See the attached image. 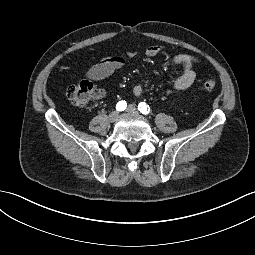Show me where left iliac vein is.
I'll return each mask as SVG.
<instances>
[{
	"label": "left iliac vein",
	"instance_id": "left-iliac-vein-1",
	"mask_svg": "<svg viewBox=\"0 0 255 255\" xmlns=\"http://www.w3.org/2000/svg\"><path fill=\"white\" fill-rule=\"evenodd\" d=\"M127 112L129 113H138L137 107L134 104H131L127 108Z\"/></svg>",
	"mask_w": 255,
	"mask_h": 255
}]
</instances>
